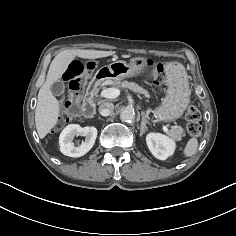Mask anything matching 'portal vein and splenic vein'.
Here are the masks:
<instances>
[{
	"instance_id": "18ae733b",
	"label": "portal vein and splenic vein",
	"mask_w": 236,
	"mask_h": 236,
	"mask_svg": "<svg viewBox=\"0 0 236 236\" xmlns=\"http://www.w3.org/2000/svg\"><path fill=\"white\" fill-rule=\"evenodd\" d=\"M119 95H120V90L116 88H107L100 92V96L103 98L113 99L118 97ZM163 129L166 133H169L167 127H164Z\"/></svg>"
}]
</instances>
